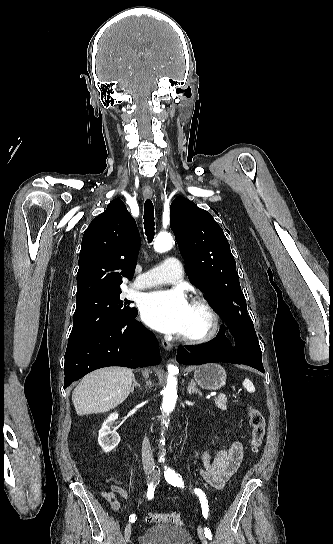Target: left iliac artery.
Listing matches in <instances>:
<instances>
[{"label":"left iliac artery","mask_w":333,"mask_h":544,"mask_svg":"<svg viewBox=\"0 0 333 544\" xmlns=\"http://www.w3.org/2000/svg\"><path fill=\"white\" fill-rule=\"evenodd\" d=\"M164 476H165L166 481L169 484L173 485L174 487H182V488L184 487V483H183L182 478L173 469L168 468V467L165 466ZM194 492L199 497L203 517L205 519H207L208 518V513H209V506H208V501L206 499V495L202 490L197 489V488L194 490ZM204 533H205V536L209 540L212 539L211 531L207 527L204 528Z\"/></svg>","instance_id":"left-iliac-artery-1"}]
</instances>
